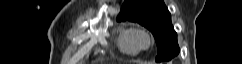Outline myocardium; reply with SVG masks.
Instances as JSON below:
<instances>
[{
  "label": "myocardium",
  "mask_w": 242,
  "mask_h": 64,
  "mask_svg": "<svg viewBox=\"0 0 242 64\" xmlns=\"http://www.w3.org/2000/svg\"><path fill=\"white\" fill-rule=\"evenodd\" d=\"M133 41L138 50H147L153 42L151 33L144 28L134 30Z\"/></svg>",
  "instance_id": "myocardium-1"
}]
</instances>
